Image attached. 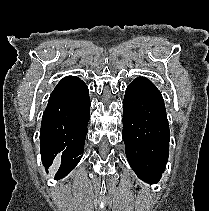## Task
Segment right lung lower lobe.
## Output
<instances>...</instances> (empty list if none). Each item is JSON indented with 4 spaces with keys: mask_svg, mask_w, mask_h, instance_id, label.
I'll return each mask as SVG.
<instances>
[{
    "mask_svg": "<svg viewBox=\"0 0 209 211\" xmlns=\"http://www.w3.org/2000/svg\"><path fill=\"white\" fill-rule=\"evenodd\" d=\"M89 118L87 85L78 77H64L50 95L40 130L41 158L46 171L53 163L61 162L56 180L65 177L79 163Z\"/></svg>",
    "mask_w": 209,
    "mask_h": 211,
    "instance_id": "obj_1",
    "label": "right lung lower lobe"
}]
</instances>
